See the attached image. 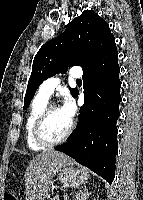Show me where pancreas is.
Instances as JSON below:
<instances>
[{
  "instance_id": "pancreas-1",
  "label": "pancreas",
  "mask_w": 143,
  "mask_h": 200,
  "mask_svg": "<svg viewBox=\"0 0 143 200\" xmlns=\"http://www.w3.org/2000/svg\"><path fill=\"white\" fill-rule=\"evenodd\" d=\"M51 200H59V199L55 197V198H53V199H51Z\"/></svg>"
}]
</instances>
